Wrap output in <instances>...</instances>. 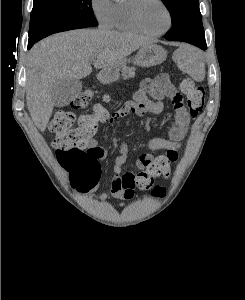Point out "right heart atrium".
<instances>
[{
  "mask_svg": "<svg viewBox=\"0 0 245 300\" xmlns=\"http://www.w3.org/2000/svg\"><path fill=\"white\" fill-rule=\"evenodd\" d=\"M91 10L98 23L103 27H109L112 21L113 0H91Z\"/></svg>",
  "mask_w": 245,
  "mask_h": 300,
  "instance_id": "right-heart-atrium-1",
  "label": "right heart atrium"
}]
</instances>
